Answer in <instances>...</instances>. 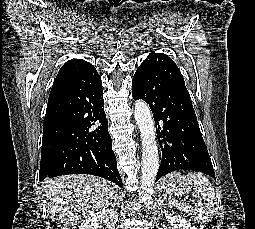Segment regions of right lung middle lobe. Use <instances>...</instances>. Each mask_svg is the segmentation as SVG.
<instances>
[{
    "mask_svg": "<svg viewBox=\"0 0 255 229\" xmlns=\"http://www.w3.org/2000/svg\"><path fill=\"white\" fill-rule=\"evenodd\" d=\"M60 131L59 128L43 130L41 165H46L48 163L54 146L59 138Z\"/></svg>",
    "mask_w": 255,
    "mask_h": 229,
    "instance_id": "dd1d6c3e",
    "label": "right lung middle lobe"
}]
</instances>
